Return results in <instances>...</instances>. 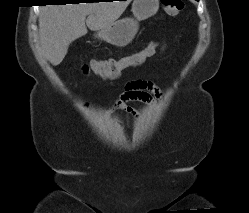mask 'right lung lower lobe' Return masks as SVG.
<instances>
[{
  "instance_id": "98d812e1",
  "label": "right lung lower lobe",
  "mask_w": 249,
  "mask_h": 213,
  "mask_svg": "<svg viewBox=\"0 0 249 213\" xmlns=\"http://www.w3.org/2000/svg\"><path fill=\"white\" fill-rule=\"evenodd\" d=\"M64 1L65 0H48L47 2H55V3H61V4H63V3H65ZM42 3H45V2H42Z\"/></svg>"
}]
</instances>
